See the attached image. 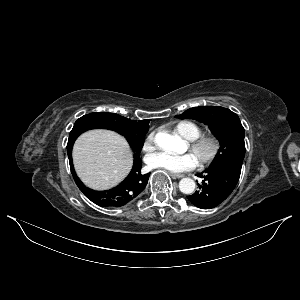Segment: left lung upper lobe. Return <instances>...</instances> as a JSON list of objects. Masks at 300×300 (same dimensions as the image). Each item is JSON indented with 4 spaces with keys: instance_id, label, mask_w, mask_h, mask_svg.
Returning <instances> with one entry per match:
<instances>
[{
    "instance_id": "5c2ea615",
    "label": "left lung upper lobe",
    "mask_w": 300,
    "mask_h": 300,
    "mask_svg": "<svg viewBox=\"0 0 300 300\" xmlns=\"http://www.w3.org/2000/svg\"><path fill=\"white\" fill-rule=\"evenodd\" d=\"M177 117L195 119L208 125L218 138L220 149L209 167L226 161L242 165L245 156V130L237 114L219 106H200L190 108Z\"/></svg>"
}]
</instances>
